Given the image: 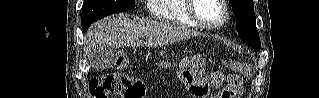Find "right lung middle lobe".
<instances>
[{
	"label": "right lung middle lobe",
	"mask_w": 319,
	"mask_h": 98,
	"mask_svg": "<svg viewBox=\"0 0 319 98\" xmlns=\"http://www.w3.org/2000/svg\"><path fill=\"white\" fill-rule=\"evenodd\" d=\"M133 0H85L82 7V27L107 15L133 9Z\"/></svg>",
	"instance_id": "dd1d6c3e"
}]
</instances>
